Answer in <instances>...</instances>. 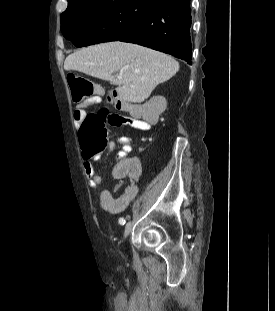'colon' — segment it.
I'll list each match as a JSON object with an SVG mask.
<instances>
[{
  "label": "colon",
  "instance_id": "obj_1",
  "mask_svg": "<svg viewBox=\"0 0 275 311\" xmlns=\"http://www.w3.org/2000/svg\"><path fill=\"white\" fill-rule=\"evenodd\" d=\"M68 83L72 91V101L74 104H100L101 98L95 97L99 94L97 87L92 81L74 73L68 75ZM114 98L118 101L121 98L114 93ZM124 117L110 109H101L97 113H87L80 127L81 142L90 154L103 153L107 149L111 150L112 145L108 138L107 126H121ZM148 121H153L150 119Z\"/></svg>",
  "mask_w": 275,
  "mask_h": 311
}]
</instances>
